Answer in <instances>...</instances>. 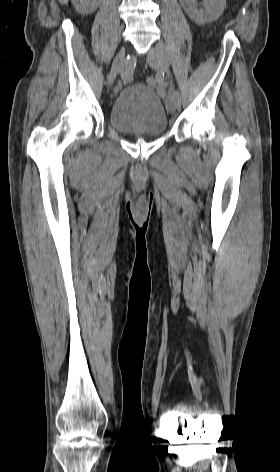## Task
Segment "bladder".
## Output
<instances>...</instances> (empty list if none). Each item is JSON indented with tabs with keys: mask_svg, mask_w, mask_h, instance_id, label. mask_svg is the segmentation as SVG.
<instances>
[{
	"mask_svg": "<svg viewBox=\"0 0 280 472\" xmlns=\"http://www.w3.org/2000/svg\"><path fill=\"white\" fill-rule=\"evenodd\" d=\"M110 125L127 134L162 135L168 129V114L158 94L141 83L122 89L108 114Z\"/></svg>",
	"mask_w": 280,
	"mask_h": 472,
	"instance_id": "1",
	"label": "bladder"
}]
</instances>
